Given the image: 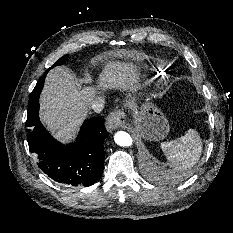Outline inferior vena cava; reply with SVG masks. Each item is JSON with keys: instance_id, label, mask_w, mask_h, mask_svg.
I'll list each match as a JSON object with an SVG mask.
<instances>
[{"instance_id": "602c4592", "label": "inferior vena cava", "mask_w": 233, "mask_h": 233, "mask_svg": "<svg viewBox=\"0 0 233 233\" xmlns=\"http://www.w3.org/2000/svg\"><path fill=\"white\" fill-rule=\"evenodd\" d=\"M91 108L95 113H100L104 108V101L102 99H95L91 103Z\"/></svg>"}]
</instances>
